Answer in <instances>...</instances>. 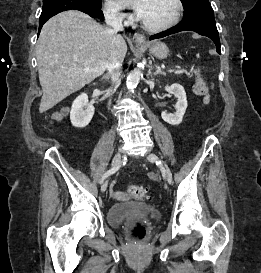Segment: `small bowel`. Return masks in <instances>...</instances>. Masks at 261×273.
I'll return each mask as SVG.
<instances>
[{"mask_svg":"<svg viewBox=\"0 0 261 273\" xmlns=\"http://www.w3.org/2000/svg\"><path fill=\"white\" fill-rule=\"evenodd\" d=\"M64 113H65L64 110H62L61 112H57L56 114H54L53 119L55 121H60L62 119ZM112 194L114 195V192H112Z\"/></svg>","mask_w":261,"mask_h":273,"instance_id":"small-bowel-1","label":"small bowel"}]
</instances>
